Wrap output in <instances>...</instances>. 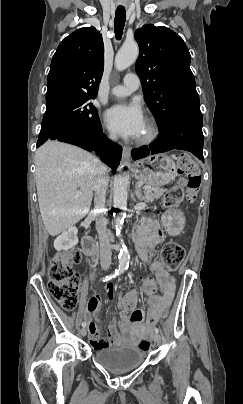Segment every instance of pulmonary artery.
Here are the masks:
<instances>
[{
	"label": "pulmonary artery",
	"mask_w": 243,
	"mask_h": 404,
	"mask_svg": "<svg viewBox=\"0 0 243 404\" xmlns=\"http://www.w3.org/2000/svg\"><path fill=\"white\" fill-rule=\"evenodd\" d=\"M123 50L117 54V63L123 65L126 61L123 58ZM140 87V78L135 73H127L122 83L112 88V94L117 97L127 96Z\"/></svg>",
	"instance_id": "pulmonary-artery-1"
}]
</instances>
